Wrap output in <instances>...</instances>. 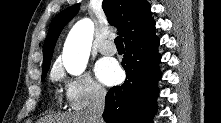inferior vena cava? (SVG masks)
Masks as SVG:
<instances>
[{"instance_id":"602c4592","label":"inferior vena cava","mask_w":221,"mask_h":123,"mask_svg":"<svg viewBox=\"0 0 221 123\" xmlns=\"http://www.w3.org/2000/svg\"><path fill=\"white\" fill-rule=\"evenodd\" d=\"M105 107V92L94 88L91 93L90 104L85 112L91 123H103L102 113Z\"/></svg>"}]
</instances>
